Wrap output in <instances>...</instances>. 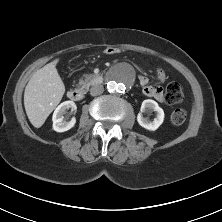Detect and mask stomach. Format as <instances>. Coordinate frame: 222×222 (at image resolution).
Wrapping results in <instances>:
<instances>
[{
	"label": "stomach",
	"instance_id": "0dacf381",
	"mask_svg": "<svg viewBox=\"0 0 222 222\" xmlns=\"http://www.w3.org/2000/svg\"><path fill=\"white\" fill-rule=\"evenodd\" d=\"M117 51H118L117 48H114V47L109 46V47L106 48L105 53H107V54H113V53H116Z\"/></svg>",
	"mask_w": 222,
	"mask_h": 222
}]
</instances>
